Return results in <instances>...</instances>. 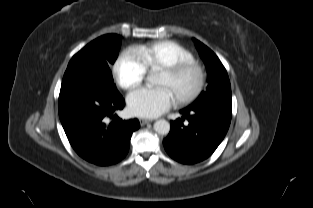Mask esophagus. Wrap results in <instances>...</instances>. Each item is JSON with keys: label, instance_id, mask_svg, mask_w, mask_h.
Listing matches in <instances>:
<instances>
[{"label": "esophagus", "instance_id": "obj_1", "mask_svg": "<svg viewBox=\"0 0 313 208\" xmlns=\"http://www.w3.org/2000/svg\"><path fill=\"white\" fill-rule=\"evenodd\" d=\"M139 121H140L141 126H144V125L152 122V120H148V119H140Z\"/></svg>", "mask_w": 313, "mask_h": 208}]
</instances>
